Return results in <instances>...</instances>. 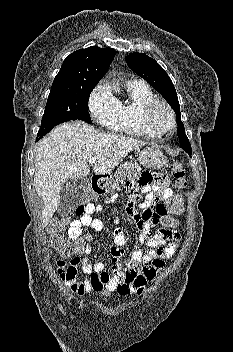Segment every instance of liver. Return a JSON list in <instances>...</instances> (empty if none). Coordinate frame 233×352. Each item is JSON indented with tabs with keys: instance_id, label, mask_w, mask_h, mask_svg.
Masks as SVG:
<instances>
[{
	"instance_id": "1",
	"label": "liver",
	"mask_w": 233,
	"mask_h": 352,
	"mask_svg": "<svg viewBox=\"0 0 233 352\" xmlns=\"http://www.w3.org/2000/svg\"><path fill=\"white\" fill-rule=\"evenodd\" d=\"M145 143L137 139L98 132L84 122L56 126L37 147L34 186L44 202L43 225H48L60 203V190L68 179L89 175L88 161L96 157L93 171L109 174L134 149Z\"/></svg>"
}]
</instances>
